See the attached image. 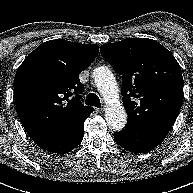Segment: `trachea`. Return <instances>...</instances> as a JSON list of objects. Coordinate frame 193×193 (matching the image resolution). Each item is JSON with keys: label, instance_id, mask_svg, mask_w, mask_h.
I'll return each mask as SVG.
<instances>
[{"label": "trachea", "instance_id": "1", "mask_svg": "<svg viewBox=\"0 0 193 193\" xmlns=\"http://www.w3.org/2000/svg\"><path fill=\"white\" fill-rule=\"evenodd\" d=\"M85 104H86V105L95 106V107H98V108L101 107L100 99H99V97H98L96 94H94V93H90V94L87 96L86 101H85Z\"/></svg>", "mask_w": 193, "mask_h": 193}]
</instances>
